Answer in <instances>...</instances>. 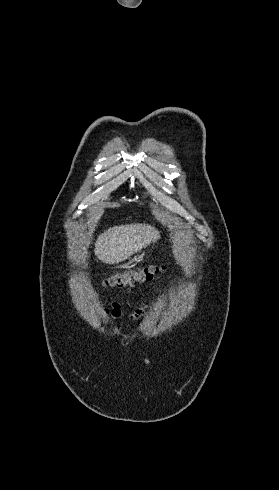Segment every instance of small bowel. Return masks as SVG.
<instances>
[{"instance_id":"1","label":"small bowel","mask_w":279,"mask_h":490,"mask_svg":"<svg viewBox=\"0 0 279 490\" xmlns=\"http://www.w3.org/2000/svg\"><path fill=\"white\" fill-rule=\"evenodd\" d=\"M120 316H121V308L118 303H113L110 309L104 311V317H106L109 321H115L118 318H120ZM142 317H143V312L141 309L136 310L132 315V318L135 321L142 319Z\"/></svg>"}]
</instances>
